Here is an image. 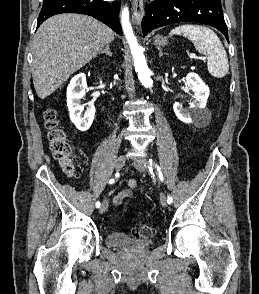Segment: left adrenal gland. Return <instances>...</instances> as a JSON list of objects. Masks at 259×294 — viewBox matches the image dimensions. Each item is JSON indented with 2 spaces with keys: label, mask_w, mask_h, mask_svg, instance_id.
<instances>
[{
  "label": "left adrenal gland",
  "mask_w": 259,
  "mask_h": 294,
  "mask_svg": "<svg viewBox=\"0 0 259 294\" xmlns=\"http://www.w3.org/2000/svg\"><path fill=\"white\" fill-rule=\"evenodd\" d=\"M159 50V57L161 58L163 56V53L161 51V49H158Z\"/></svg>",
  "instance_id": "1"
}]
</instances>
